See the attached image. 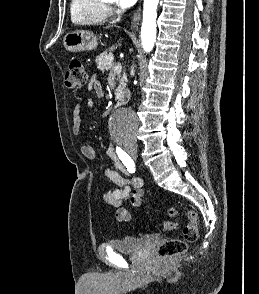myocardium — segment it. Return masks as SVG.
<instances>
[{
	"label": "myocardium",
	"instance_id": "myocardium-1",
	"mask_svg": "<svg viewBox=\"0 0 259 294\" xmlns=\"http://www.w3.org/2000/svg\"><path fill=\"white\" fill-rule=\"evenodd\" d=\"M104 1V3H106V4H108L109 3V1L108 0H103Z\"/></svg>",
	"mask_w": 259,
	"mask_h": 294
}]
</instances>
